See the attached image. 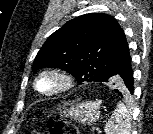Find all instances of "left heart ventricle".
I'll use <instances>...</instances> for the list:
<instances>
[{
    "instance_id": "left-heart-ventricle-1",
    "label": "left heart ventricle",
    "mask_w": 153,
    "mask_h": 134,
    "mask_svg": "<svg viewBox=\"0 0 153 134\" xmlns=\"http://www.w3.org/2000/svg\"><path fill=\"white\" fill-rule=\"evenodd\" d=\"M59 82L56 78L51 76H45L39 81V88L42 91H51L58 86Z\"/></svg>"
}]
</instances>
